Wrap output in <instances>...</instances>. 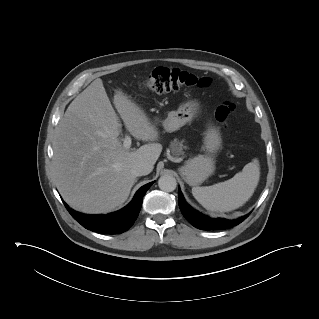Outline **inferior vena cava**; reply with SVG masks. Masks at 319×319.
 Here are the masks:
<instances>
[{"label": "inferior vena cava", "mask_w": 319, "mask_h": 319, "mask_svg": "<svg viewBox=\"0 0 319 319\" xmlns=\"http://www.w3.org/2000/svg\"><path fill=\"white\" fill-rule=\"evenodd\" d=\"M152 171L151 165L146 161H139L131 166V172L135 176L147 175Z\"/></svg>", "instance_id": "obj_1"}]
</instances>
